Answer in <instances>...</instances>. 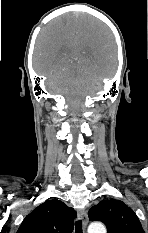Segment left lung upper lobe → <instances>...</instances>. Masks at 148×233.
Returning a JSON list of instances; mask_svg holds the SVG:
<instances>
[{"instance_id":"left-lung-upper-lobe-1","label":"left lung upper lobe","mask_w":148,"mask_h":233,"mask_svg":"<svg viewBox=\"0 0 148 233\" xmlns=\"http://www.w3.org/2000/svg\"><path fill=\"white\" fill-rule=\"evenodd\" d=\"M90 221H101L107 233H145L135 212L124 202L108 199L89 210Z\"/></svg>"}]
</instances>
